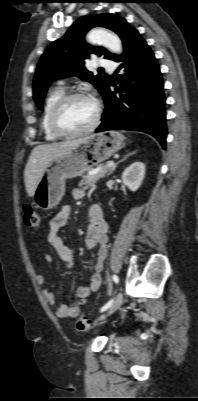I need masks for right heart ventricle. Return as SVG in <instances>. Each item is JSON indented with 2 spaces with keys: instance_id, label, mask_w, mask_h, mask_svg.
<instances>
[{
  "instance_id": "e07e8e85",
  "label": "right heart ventricle",
  "mask_w": 198,
  "mask_h": 401,
  "mask_svg": "<svg viewBox=\"0 0 198 401\" xmlns=\"http://www.w3.org/2000/svg\"><path fill=\"white\" fill-rule=\"evenodd\" d=\"M63 95H64V90L62 88L53 89L47 95L45 103H44L42 117H41V129H42L44 138L48 141H55V140L59 139V136H57L50 128L49 116H50V112H51L53 105Z\"/></svg>"
}]
</instances>
